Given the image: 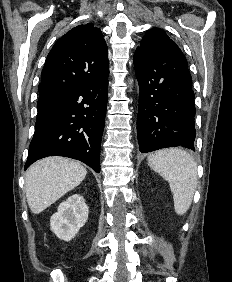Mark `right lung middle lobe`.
<instances>
[{
    "mask_svg": "<svg viewBox=\"0 0 232 282\" xmlns=\"http://www.w3.org/2000/svg\"><path fill=\"white\" fill-rule=\"evenodd\" d=\"M60 98L54 94H39L37 118L44 116Z\"/></svg>",
    "mask_w": 232,
    "mask_h": 282,
    "instance_id": "obj_1",
    "label": "right lung middle lobe"
}]
</instances>
